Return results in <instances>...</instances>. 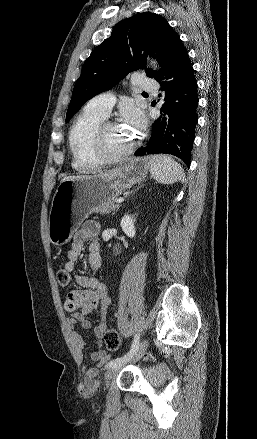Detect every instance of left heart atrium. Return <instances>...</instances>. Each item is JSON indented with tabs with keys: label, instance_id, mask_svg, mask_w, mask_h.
<instances>
[{
	"label": "left heart atrium",
	"instance_id": "1",
	"mask_svg": "<svg viewBox=\"0 0 257 439\" xmlns=\"http://www.w3.org/2000/svg\"><path fill=\"white\" fill-rule=\"evenodd\" d=\"M124 125L134 132H141L145 128V116L143 112L136 107H126L122 111Z\"/></svg>",
	"mask_w": 257,
	"mask_h": 439
}]
</instances>
